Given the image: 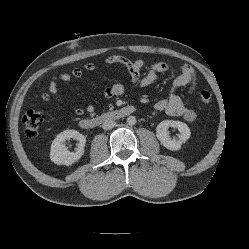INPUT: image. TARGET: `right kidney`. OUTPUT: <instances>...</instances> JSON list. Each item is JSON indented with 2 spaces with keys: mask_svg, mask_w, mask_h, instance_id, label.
<instances>
[{
  "mask_svg": "<svg viewBox=\"0 0 249 249\" xmlns=\"http://www.w3.org/2000/svg\"><path fill=\"white\" fill-rule=\"evenodd\" d=\"M71 138L78 141L75 152H70L64 144L66 140ZM85 143V136L78 131L72 129L65 130L59 133L53 140L50 150V159L57 165H72L84 154Z\"/></svg>",
  "mask_w": 249,
  "mask_h": 249,
  "instance_id": "1",
  "label": "right kidney"
}]
</instances>
